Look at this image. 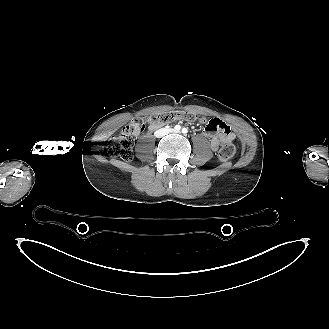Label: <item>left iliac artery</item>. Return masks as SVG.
Returning <instances> with one entry per match:
<instances>
[{"label": "left iliac artery", "instance_id": "left-iliac-artery-1", "mask_svg": "<svg viewBox=\"0 0 329 329\" xmlns=\"http://www.w3.org/2000/svg\"><path fill=\"white\" fill-rule=\"evenodd\" d=\"M187 132H188V129H187V128H183V129H182V133H183V134H186Z\"/></svg>", "mask_w": 329, "mask_h": 329}]
</instances>
